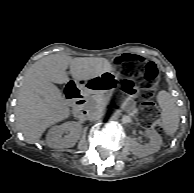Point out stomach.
I'll return each mask as SVG.
<instances>
[{
	"label": "stomach",
	"instance_id": "obj_1",
	"mask_svg": "<svg viewBox=\"0 0 194 193\" xmlns=\"http://www.w3.org/2000/svg\"><path fill=\"white\" fill-rule=\"evenodd\" d=\"M80 89H92L100 92L113 91L117 86L132 96H138L140 89L135 81L130 78L121 79L119 75L113 71H105L88 80L76 81Z\"/></svg>",
	"mask_w": 194,
	"mask_h": 193
}]
</instances>
